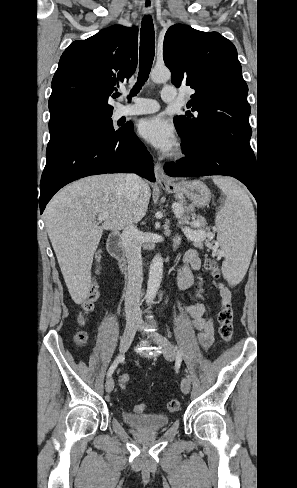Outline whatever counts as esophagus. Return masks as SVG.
Masks as SVG:
<instances>
[{
	"label": "esophagus",
	"instance_id": "34e87169",
	"mask_svg": "<svg viewBox=\"0 0 297 488\" xmlns=\"http://www.w3.org/2000/svg\"><path fill=\"white\" fill-rule=\"evenodd\" d=\"M153 11V3L151 0H146L143 3V12L145 14H150ZM155 177L158 183L165 184L169 183L168 176L164 173L163 167L160 163H156L154 166Z\"/></svg>",
	"mask_w": 297,
	"mask_h": 488
}]
</instances>
